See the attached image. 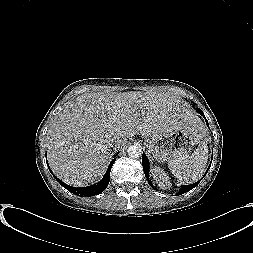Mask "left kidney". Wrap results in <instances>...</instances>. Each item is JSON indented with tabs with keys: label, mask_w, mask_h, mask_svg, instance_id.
Masks as SVG:
<instances>
[{
	"label": "left kidney",
	"mask_w": 253,
	"mask_h": 253,
	"mask_svg": "<svg viewBox=\"0 0 253 253\" xmlns=\"http://www.w3.org/2000/svg\"><path fill=\"white\" fill-rule=\"evenodd\" d=\"M154 178L161 188H167L171 185L167 174L159 167L154 170Z\"/></svg>",
	"instance_id": "5707ae66"
}]
</instances>
